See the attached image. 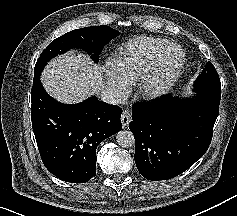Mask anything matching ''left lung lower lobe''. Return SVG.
<instances>
[{
  "label": "left lung lower lobe",
  "instance_id": "left-lung-lower-lobe-1",
  "mask_svg": "<svg viewBox=\"0 0 237 216\" xmlns=\"http://www.w3.org/2000/svg\"><path fill=\"white\" fill-rule=\"evenodd\" d=\"M220 98L170 95L133 105L129 128L135 138V163L148 180L174 178L207 151L219 113Z\"/></svg>",
  "mask_w": 237,
  "mask_h": 216
}]
</instances>
